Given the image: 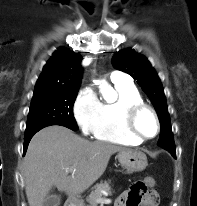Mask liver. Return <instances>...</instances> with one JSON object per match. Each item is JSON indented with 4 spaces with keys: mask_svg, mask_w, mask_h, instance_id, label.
<instances>
[{
    "mask_svg": "<svg viewBox=\"0 0 197 206\" xmlns=\"http://www.w3.org/2000/svg\"><path fill=\"white\" fill-rule=\"evenodd\" d=\"M125 150L129 149L90 142L63 126L40 130L31 139L23 162L29 206H43L53 186L69 197L83 193L102 176L110 157Z\"/></svg>",
    "mask_w": 197,
    "mask_h": 206,
    "instance_id": "liver-1",
    "label": "liver"
}]
</instances>
